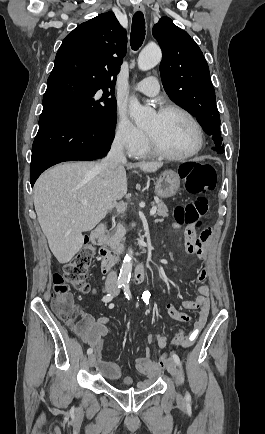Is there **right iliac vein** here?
Masks as SVG:
<instances>
[{
	"instance_id": "right-iliac-vein-1",
	"label": "right iliac vein",
	"mask_w": 265,
	"mask_h": 434,
	"mask_svg": "<svg viewBox=\"0 0 265 434\" xmlns=\"http://www.w3.org/2000/svg\"><path fill=\"white\" fill-rule=\"evenodd\" d=\"M106 291H107V292H112V291H113V288H112V287H107V288H106ZM94 362H95V356H94V355H90V356L88 357V365H89L90 367H93V366H94Z\"/></svg>"
}]
</instances>
